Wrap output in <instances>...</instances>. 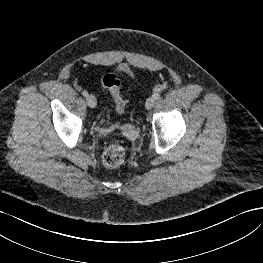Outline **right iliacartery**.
Here are the masks:
<instances>
[{"mask_svg": "<svg viewBox=\"0 0 263 263\" xmlns=\"http://www.w3.org/2000/svg\"><path fill=\"white\" fill-rule=\"evenodd\" d=\"M82 94H83L84 97H87V96H88V92L85 91V90L82 92Z\"/></svg>", "mask_w": 263, "mask_h": 263, "instance_id": "82829eb1", "label": "right iliac artery"}]
</instances>
